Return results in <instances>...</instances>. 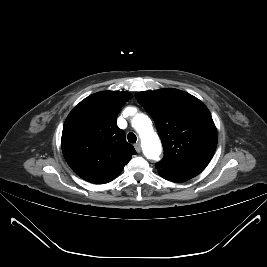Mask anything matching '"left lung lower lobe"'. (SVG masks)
I'll return each instance as SVG.
<instances>
[{
  "instance_id": "1",
  "label": "left lung lower lobe",
  "mask_w": 267,
  "mask_h": 267,
  "mask_svg": "<svg viewBox=\"0 0 267 267\" xmlns=\"http://www.w3.org/2000/svg\"><path fill=\"white\" fill-rule=\"evenodd\" d=\"M156 168L161 177L172 182H184L192 178L185 173L156 164Z\"/></svg>"
}]
</instances>
